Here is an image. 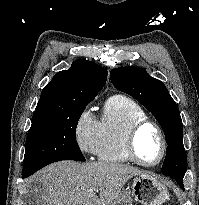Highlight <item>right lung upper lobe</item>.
<instances>
[{
    "label": "right lung upper lobe",
    "mask_w": 199,
    "mask_h": 205,
    "mask_svg": "<svg viewBox=\"0 0 199 205\" xmlns=\"http://www.w3.org/2000/svg\"><path fill=\"white\" fill-rule=\"evenodd\" d=\"M107 70L96 63L76 60L67 71L58 72L43 89L35 112L40 110L94 99L104 87Z\"/></svg>",
    "instance_id": "obj_1"
}]
</instances>
